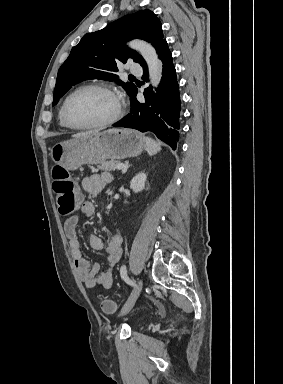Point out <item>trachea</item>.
Masks as SVG:
<instances>
[{"label":"trachea","mask_w":283,"mask_h":384,"mask_svg":"<svg viewBox=\"0 0 283 384\" xmlns=\"http://www.w3.org/2000/svg\"><path fill=\"white\" fill-rule=\"evenodd\" d=\"M129 77H134V75H129Z\"/></svg>","instance_id":"3493384b"}]
</instances>
